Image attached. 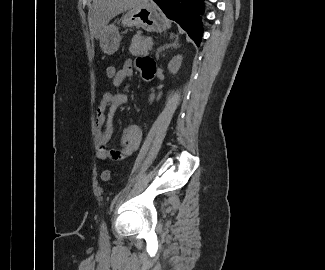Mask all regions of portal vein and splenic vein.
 <instances>
[{"mask_svg": "<svg viewBox=\"0 0 325 270\" xmlns=\"http://www.w3.org/2000/svg\"><path fill=\"white\" fill-rule=\"evenodd\" d=\"M149 45H150V47H152L153 46V41H152V39L150 38V41H149Z\"/></svg>", "mask_w": 325, "mask_h": 270, "instance_id": "portal-vein-and-splenic-vein-1", "label": "portal vein and splenic vein"}]
</instances>
